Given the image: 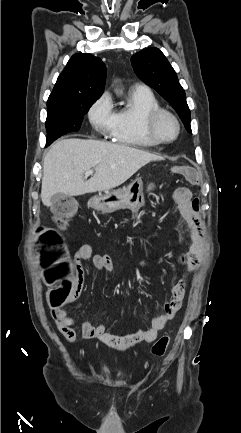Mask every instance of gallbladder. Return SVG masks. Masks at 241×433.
<instances>
[{
    "instance_id": "obj_1",
    "label": "gallbladder",
    "mask_w": 241,
    "mask_h": 433,
    "mask_svg": "<svg viewBox=\"0 0 241 433\" xmlns=\"http://www.w3.org/2000/svg\"><path fill=\"white\" fill-rule=\"evenodd\" d=\"M66 198H67V196L65 194L56 193L51 197L50 205H55L58 202H60L61 200H64ZM69 203H70L69 209H70L71 213H74L76 211V208H77V203L74 199H69Z\"/></svg>"
}]
</instances>
